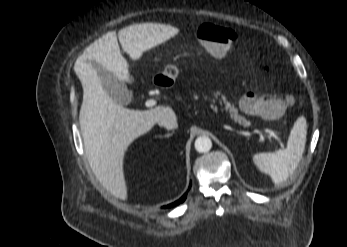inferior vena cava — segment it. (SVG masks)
Returning a JSON list of instances; mask_svg holds the SVG:
<instances>
[{
    "label": "inferior vena cava",
    "instance_id": "602c4592",
    "mask_svg": "<svg viewBox=\"0 0 347 247\" xmlns=\"http://www.w3.org/2000/svg\"><path fill=\"white\" fill-rule=\"evenodd\" d=\"M157 123L159 126L165 127L167 130L176 129L178 127L176 117L172 112H166L164 115L159 116Z\"/></svg>",
    "mask_w": 347,
    "mask_h": 247
}]
</instances>
